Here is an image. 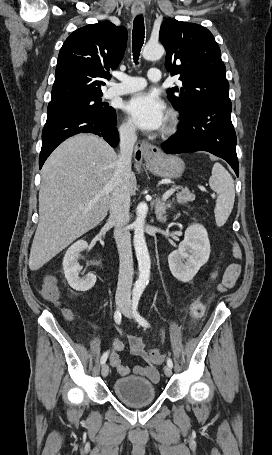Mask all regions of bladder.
<instances>
[{
    "mask_svg": "<svg viewBox=\"0 0 272 455\" xmlns=\"http://www.w3.org/2000/svg\"><path fill=\"white\" fill-rule=\"evenodd\" d=\"M113 390L116 397L129 406L148 405L156 399L155 385L136 375L118 378L113 385Z\"/></svg>",
    "mask_w": 272,
    "mask_h": 455,
    "instance_id": "obj_1",
    "label": "bladder"
}]
</instances>
